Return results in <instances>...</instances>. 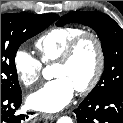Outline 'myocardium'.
Returning a JSON list of instances; mask_svg holds the SVG:
<instances>
[{"label":"myocardium","instance_id":"myocardium-1","mask_svg":"<svg viewBox=\"0 0 123 123\" xmlns=\"http://www.w3.org/2000/svg\"><path fill=\"white\" fill-rule=\"evenodd\" d=\"M87 39L91 40L96 47L97 63L95 71L91 76V78L89 79V81L85 85L76 88V91L81 94H85L92 91L96 87V85L98 84L103 75L105 68V53L101 38L92 31H84L80 33L68 43L62 55L56 61V64L61 65L68 64L74 57L80 45Z\"/></svg>","mask_w":123,"mask_h":123}]
</instances>
